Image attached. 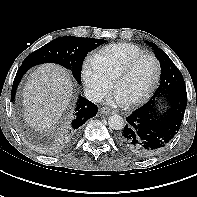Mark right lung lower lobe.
<instances>
[{"label":"right lung lower lobe","mask_w":197,"mask_h":197,"mask_svg":"<svg viewBox=\"0 0 197 197\" xmlns=\"http://www.w3.org/2000/svg\"><path fill=\"white\" fill-rule=\"evenodd\" d=\"M31 68L28 65H22L15 76L13 86H12V92H11V99L14 101L15 93L18 87V84L24 75V73ZM98 112V107L88 101L87 99L83 97H79V100L77 102V107L75 108L74 117L72 122L67 126L66 128V135L69 138H72L79 130V128L85 124V122L94 117Z\"/></svg>","instance_id":"right-lung-lower-lobe-1"}]
</instances>
